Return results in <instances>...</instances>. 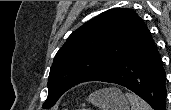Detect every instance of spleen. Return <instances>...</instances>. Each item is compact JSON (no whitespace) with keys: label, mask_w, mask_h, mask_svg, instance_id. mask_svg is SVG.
Listing matches in <instances>:
<instances>
[{"label":"spleen","mask_w":171,"mask_h":110,"mask_svg":"<svg viewBox=\"0 0 171 110\" xmlns=\"http://www.w3.org/2000/svg\"><path fill=\"white\" fill-rule=\"evenodd\" d=\"M126 97L131 104V110H152L149 104L134 93L127 92Z\"/></svg>","instance_id":"spleen-1"}]
</instances>
